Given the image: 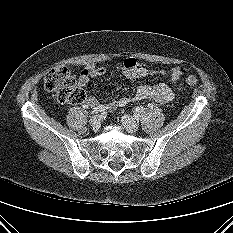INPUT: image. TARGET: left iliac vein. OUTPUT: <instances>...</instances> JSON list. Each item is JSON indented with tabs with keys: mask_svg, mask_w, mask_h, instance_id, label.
Listing matches in <instances>:
<instances>
[{
	"mask_svg": "<svg viewBox=\"0 0 233 233\" xmlns=\"http://www.w3.org/2000/svg\"><path fill=\"white\" fill-rule=\"evenodd\" d=\"M122 125L127 129L129 133H136L139 131V125L133 117L130 115H123L121 117Z\"/></svg>",
	"mask_w": 233,
	"mask_h": 233,
	"instance_id": "4c4485c4",
	"label": "left iliac vein"
}]
</instances>
